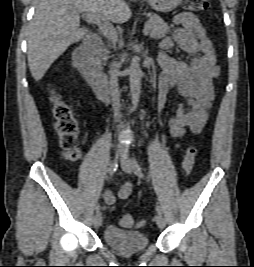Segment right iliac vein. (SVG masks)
<instances>
[{
    "mask_svg": "<svg viewBox=\"0 0 254 267\" xmlns=\"http://www.w3.org/2000/svg\"><path fill=\"white\" fill-rule=\"evenodd\" d=\"M121 155V151L118 152V156ZM93 224L96 228H99L102 225L101 214L97 213L93 218Z\"/></svg>",
    "mask_w": 254,
    "mask_h": 267,
    "instance_id": "1",
    "label": "right iliac vein"
}]
</instances>
